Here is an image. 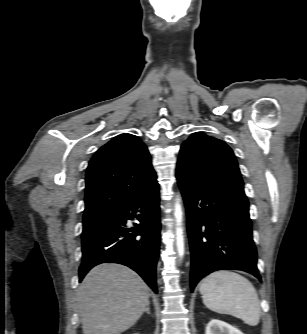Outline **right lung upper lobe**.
<instances>
[{
	"label": "right lung upper lobe",
	"instance_id": "1",
	"mask_svg": "<svg viewBox=\"0 0 307 334\" xmlns=\"http://www.w3.org/2000/svg\"><path fill=\"white\" fill-rule=\"evenodd\" d=\"M156 183L145 144L132 134L118 135L89 162L84 217L111 214Z\"/></svg>",
	"mask_w": 307,
	"mask_h": 334
}]
</instances>
